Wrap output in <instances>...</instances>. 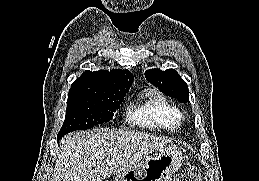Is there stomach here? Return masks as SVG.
<instances>
[{
  "label": "stomach",
  "instance_id": "1",
  "mask_svg": "<svg viewBox=\"0 0 259 181\" xmlns=\"http://www.w3.org/2000/svg\"><path fill=\"white\" fill-rule=\"evenodd\" d=\"M183 155L172 145L120 173L114 181H168L180 168Z\"/></svg>",
  "mask_w": 259,
  "mask_h": 181
}]
</instances>
